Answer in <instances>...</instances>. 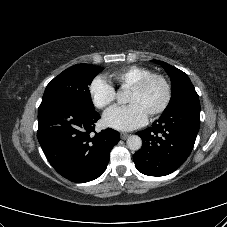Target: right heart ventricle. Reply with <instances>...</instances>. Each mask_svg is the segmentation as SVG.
<instances>
[{"label": "right heart ventricle", "instance_id": "obj_1", "mask_svg": "<svg viewBox=\"0 0 227 227\" xmlns=\"http://www.w3.org/2000/svg\"><path fill=\"white\" fill-rule=\"evenodd\" d=\"M152 73V70L143 66H127L111 74V78L121 88L132 87L136 82Z\"/></svg>", "mask_w": 227, "mask_h": 227}]
</instances>
